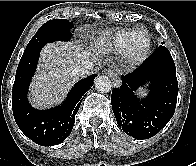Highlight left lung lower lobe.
I'll return each instance as SVG.
<instances>
[{
	"instance_id": "1",
	"label": "left lung lower lobe",
	"mask_w": 196,
	"mask_h": 166,
	"mask_svg": "<svg viewBox=\"0 0 196 166\" xmlns=\"http://www.w3.org/2000/svg\"><path fill=\"white\" fill-rule=\"evenodd\" d=\"M120 88H113L111 104L117 123L137 139L156 135L172 118L177 103L176 68L169 50L160 45L153 55L132 74L122 77ZM150 81V92L139 99L134 92Z\"/></svg>"
}]
</instances>
